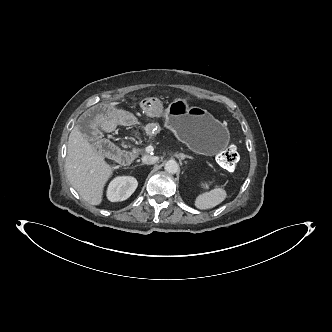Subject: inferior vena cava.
<instances>
[{
	"label": "inferior vena cava",
	"mask_w": 332,
	"mask_h": 332,
	"mask_svg": "<svg viewBox=\"0 0 332 332\" xmlns=\"http://www.w3.org/2000/svg\"><path fill=\"white\" fill-rule=\"evenodd\" d=\"M158 157L157 156H150V155H145L142 157V162L144 164H147V165H151V164H154L158 161Z\"/></svg>",
	"instance_id": "1"
}]
</instances>
